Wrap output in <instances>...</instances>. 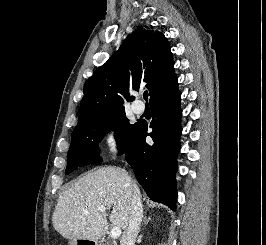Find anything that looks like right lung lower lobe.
<instances>
[{
	"mask_svg": "<svg viewBox=\"0 0 266 245\" xmlns=\"http://www.w3.org/2000/svg\"><path fill=\"white\" fill-rule=\"evenodd\" d=\"M181 94L178 82L171 83L164 91L150 99L152 120L136 123L135 133L125 153L139 184L153 201L176 208L177 190L175 172L181 135ZM148 127L152 132L147 133ZM150 136L154 143L148 144Z\"/></svg>",
	"mask_w": 266,
	"mask_h": 245,
	"instance_id": "1",
	"label": "right lung lower lobe"
}]
</instances>
